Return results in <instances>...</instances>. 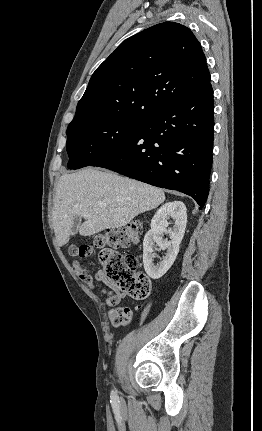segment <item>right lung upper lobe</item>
<instances>
[{"label":"right lung upper lobe","instance_id":"right-lung-upper-lobe-1","mask_svg":"<svg viewBox=\"0 0 262 431\" xmlns=\"http://www.w3.org/2000/svg\"><path fill=\"white\" fill-rule=\"evenodd\" d=\"M209 85L206 58L191 30L175 22L160 23L123 41L96 69L69 126L143 119Z\"/></svg>","mask_w":262,"mask_h":431}]
</instances>
